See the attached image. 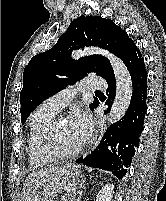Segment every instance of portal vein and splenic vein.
I'll return each instance as SVG.
<instances>
[{
	"label": "portal vein and splenic vein",
	"instance_id": "18ae733b",
	"mask_svg": "<svg viewBox=\"0 0 166 201\" xmlns=\"http://www.w3.org/2000/svg\"><path fill=\"white\" fill-rule=\"evenodd\" d=\"M64 190H65L66 192H69V191L71 190V188H70V187H65Z\"/></svg>",
	"mask_w": 166,
	"mask_h": 201
}]
</instances>
